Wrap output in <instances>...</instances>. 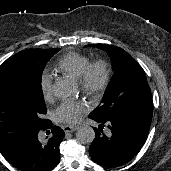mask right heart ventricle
Here are the masks:
<instances>
[{
  "mask_svg": "<svg viewBox=\"0 0 171 171\" xmlns=\"http://www.w3.org/2000/svg\"><path fill=\"white\" fill-rule=\"evenodd\" d=\"M89 63L90 60L85 55L69 52L59 59L57 67L64 74L79 79Z\"/></svg>",
  "mask_w": 171,
  "mask_h": 171,
  "instance_id": "obj_1",
  "label": "right heart ventricle"
}]
</instances>
